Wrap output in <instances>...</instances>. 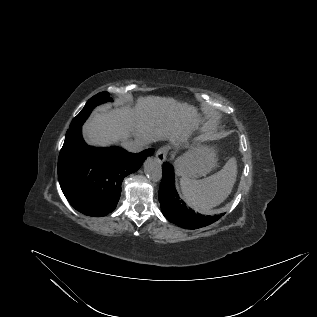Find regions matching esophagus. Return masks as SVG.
Returning a JSON list of instances; mask_svg holds the SVG:
<instances>
[{
  "instance_id": "esophagus-1",
  "label": "esophagus",
  "mask_w": 317,
  "mask_h": 317,
  "mask_svg": "<svg viewBox=\"0 0 317 317\" xmlns=\"http://www.w3.org/2000/svg\"><path fill=\"white\" fill-rule=\"evenodd\" d=\"M169 148L167 146H162L156 151V159L159 163H163L166 160Z\"/></svg>"
}]
</instances>
